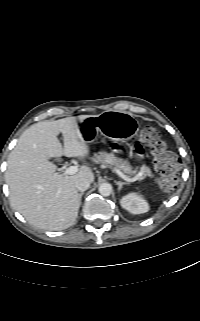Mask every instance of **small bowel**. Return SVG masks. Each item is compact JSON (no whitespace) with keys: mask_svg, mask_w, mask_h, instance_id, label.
Here are the masks:
<instances>
[{"mask_svg":"<svg viewBox=\"0 0 200 321\" xmlns=\"http://www.w3.org/2000/svg\"><path fill=\"white\" fill-rule=\"evenodd\" d=\"M109 148L114 149L117 152H122L124 155H128L133 157L134 161L139 162L142 159L141 154H139L138 150L130 147L129 143L127 142H120L111 140L108 143Z\"/></svg>","mask_w":200,"mask_h":321,"instance_id":"small-bowel-1","label":"small bowel"}]
</instances>
